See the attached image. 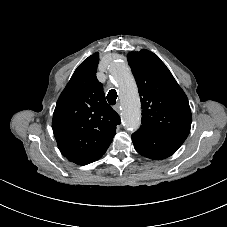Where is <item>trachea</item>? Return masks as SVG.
Listing matches in <instances>:
<instances>
[{
	"instance_id": "trachea-1",
	"label": "trachea",
	"mask_w": 227,
	"mask_h": 227,
	"mask_svg": "<svg viewBox=\"0 0 227 227\" xmlns=\"http://www.w3.org/2000/svg\"><path fill=\"white\" fill-rule=\"evenodd\" d=\"M107 100H108L109 104H111V105H115L116 104V100H117V92H116V90L112 89V90H110L108 92Z\"/></svg>"
}]
</instances>
